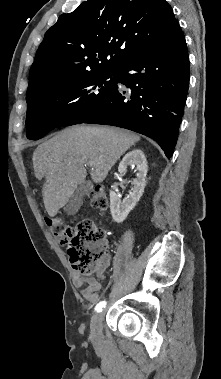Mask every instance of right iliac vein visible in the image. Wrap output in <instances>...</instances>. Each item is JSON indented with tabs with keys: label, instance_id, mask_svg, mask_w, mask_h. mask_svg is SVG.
I'll list each match as a JSON object with an SVG mask.
<instances>
[{
	"label": "right iliac vein",
	"instance_id": "right-iliac-vein-1",
	"mask_svg": "<svg viewBox=\"0 0 221 379\" xmlns=\"http://www.w3.org/2000/svg\"><path fill=\"white\" fill-rule=\"evenodd\" d=\"M103 320V313L100 312L94 315L91 319V336L96 339L100 336L101 333V325Z\"/></svg>",
	"mask_w": 221,
	"mask_h": 379
}]
</instances>
